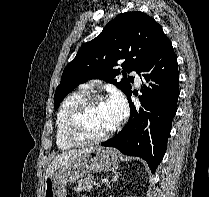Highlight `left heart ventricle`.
<instances>
[{
    "instance_id": "b2bd125f",
    "label": "left heart ventricle",
    "mask_w": 209,
    "mask_h": 197,
    "mask_svg": "<svg viewBox=\"0 0 209 197\" xmlns=\"http://www.w3.org/2000/svg\"><path fill=\"white\" fill-rule=\"evenodd\" d=\"M114 126L105 102H97L83 114L80 122L81 132L89 137L99 136Z\"/></svg>"
}]
</instances>
